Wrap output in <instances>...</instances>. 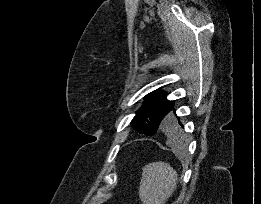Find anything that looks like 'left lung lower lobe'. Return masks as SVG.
Returning a JSON list of instances; mask_svg holds the SVG:
<instances>
[{
  "instance_id": "obj_1",
  "label": "left lung lower lobe",
  "mask_w": 261,
  "mask_h": 204,
  "mask_svg": "<svg viewBox=\"0 0 261 204\" xmlns=\"http://www.w3.org/2000/svg\"><path fill=\"white\" fill-rule=\"evenodd\" d=\"M172 110L175 113L174 107L172 108ZM178 119H179V117H178ZM182 127H183V125H182ZM162 130L173 139H179L180 138L179 128L171 119H168V121L163 126Z\"/></svg>"
}]
</instances>
